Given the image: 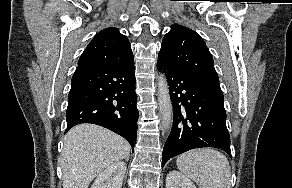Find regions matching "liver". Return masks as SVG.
Listing matches in <instances>:
<instances>
[{"label": "liver", "mask_w": 292, "mask_h": 188, "mask_svg": "<svg viewBox=\"0 0 292 188\" xmlns=\"http://www.w3.org/2000/svg\"><path fill=\"white\" fill-rule=\"evenodd\" d=\"M130 148L124 138L103 127H73L64 138L61 154L63 188H88L105 168L129 157Z\"/></svg>", "instance_id": "liver-1"}]
</instances>
